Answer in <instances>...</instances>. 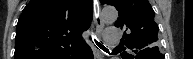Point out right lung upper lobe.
Masks as SVG:
<instances>
[{
    "instance_id": "right-lung-upper-lobe-1",
    "label": "right lung upper lobe",
    "mask_w": 193,
    "mask_h": 59,
    "mask_svg": "<svg viewBox=\"0 0 193 59\" xmlns=\"http://www.w3.org/2000/svg\"><path fill=\"white\" fill-rule=\"evenodd\" d=\"M92 0H31L17 24L14 59H69L85 44Z\"/></svg>"
}]
</instances>
